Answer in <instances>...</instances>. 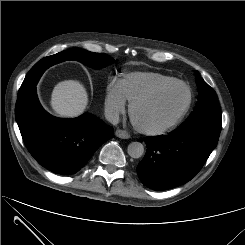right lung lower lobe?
<instances>
[{
    "label": "right lung lower lobe",
    "mask_w": 245,
    "mask_h": 245,
    "mask_svg": "<svg viewBox=\"0 0 245 245\" xmlns=\"http://www.w3.org/2000/svg\"><path fill=\"white\" fill-rule=\"evenodd\" d=\"M15 116L31 155L40 165L61 175L79 171L113 135L111 126L89 113L74 119L53 117L40 105L36 87L17 99Z\"/></svg>",
    "instance_id": "right-lung-lower-lobe-1"
}]
</instances>
